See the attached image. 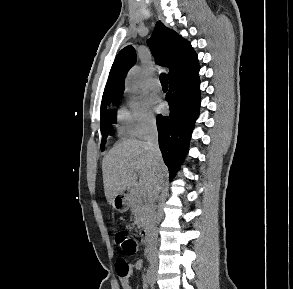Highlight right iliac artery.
<instances>
[{"mask_svg":"<svg viewBox=\"0 0 293 289\" xmlns=\"http://www.w3.org/2000/svg\"><path fill=\"white\" fill-rule=\"evenodd\" d=\"M146 279H147V282L150 283V284L153 282L152 270H151L150 267L147 269Z\"/></svg>","mask_w":293,"mask_h":289,"instance_id":"1","label":"right iliac artery"}]
</instances>
